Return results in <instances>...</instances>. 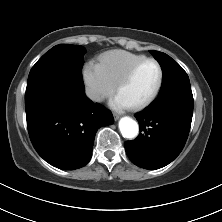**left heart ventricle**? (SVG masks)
<instances>
[{
    "label": "left heart ventricle",
    "mask_w": 222,
    "mask_h": 222,
    "mask_svg": "<svg viewBox=\"0 0 222 222\" xmlns=\"http://www.w3.org/2000/svg\"><path fill=\"white\" fill-rule=\"evenodd\" d=\"M159 72L157 66L148 62L142 65L131 81L118 91L129 104L135 105L146 100L158 82Z\"/></svg>",
    "instance_id": "obj_1"
}]
</instances>
